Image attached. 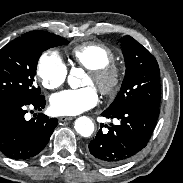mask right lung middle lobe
<instances>
[{
    "label": "right lung middle lobe",
    "mask_w": 183,
    "mask_h": 183,
    "mask_svg": "<svg viewBox=\"0 0 183 183\" xmlns=\"http://www.w3.org/2000/svg\"><path fill=\"white\" fill-rule=\"evenodd\" d=\"M68 43L45 31H31L4 46L0 50V98L40 95L35 81L39 57L51 47Z\"/></svg>",
    "instance_id": "right-lung-middle-lobe-1"
}]
</instances>
